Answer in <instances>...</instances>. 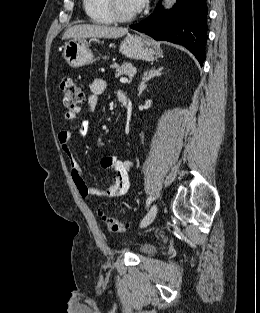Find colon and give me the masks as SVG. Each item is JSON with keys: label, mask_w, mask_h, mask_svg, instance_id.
Returning a JSON list of instances; mask_svg holds the SVG:
<instances>
[{"label": "colon", "mask_w": 260, "mask_h": 313, "mask_svg": "<svg viewBox=\"0 0 260 313\" xmlns=\"http://www.w3.org/2000/svg\"><path fill=\"white\" fill-rule=\"evenodd\" d=\"M60 89L63 103L68 109H76L84 101L83 90L74 78L70 76L63 77L60 82ZM99 215L110 231L118 233L126 229V225L123 222L107 215L103 211H100Z\"/></svg>", "instance_id": "obj_1"}]
</instances>
